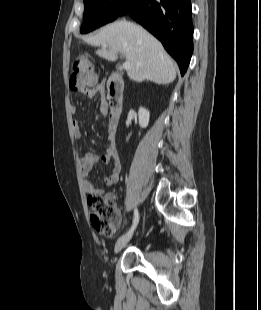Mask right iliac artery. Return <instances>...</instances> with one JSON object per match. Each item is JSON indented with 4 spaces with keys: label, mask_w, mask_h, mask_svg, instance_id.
Wrapping results in <instances>:
<instances>
[{
    "label": "right iliac artery",
    "mask_w": 261,
    "mask_h": 310,
    "mask_svg": "<svg viewBox=\"0 0 261 310\" xmlns=\"http://www.w3.org/2000/svg\"><path fill=\"white\" fill-rule=\"evenodd\" d=\"M138 221H139V213H138V210L135 209L134 210V218H133V225L131 227V229L128 231L127 234H130L134 231V229L136 228L137 224H138Z\"/></svg>",
    "instance_id": "right-iliac-artery-1"
}]
</instances>
